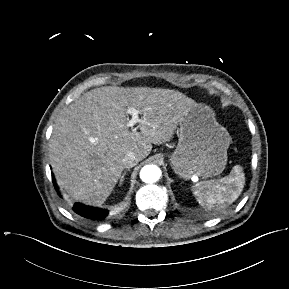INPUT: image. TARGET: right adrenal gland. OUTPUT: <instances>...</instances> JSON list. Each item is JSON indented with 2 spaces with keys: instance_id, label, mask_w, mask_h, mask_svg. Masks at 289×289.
I'll list each match as a JSON object with an SVG mask.
<instances>
[{
  "instance_id": "right-adrenal-gland-1",
  "label": "right adrenal gland",
  "mask_w": 289,
  "mask_h": 289,
  "mask_svg": "<svg viewBox=\"0 0 289 289\" xmlns=\"http://www.w3.org/2000/svg\"><path fill=\"white\" fill-rule=\"evenodd\" d=\"M126 175V172H124L120 178V181H119V185H122L123 181H124V176Z\"/></svg>"
}]
</instances>
